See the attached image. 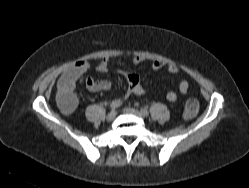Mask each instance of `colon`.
Instances as JSON below:
<instances>
[{
  "mask_svg": "<svg viewBox=\"0 0 249 188\" xmlns=\"http://www.w3.org/2000/svg\"><path fill=\"white\" fill-rule=\"evenodd\" d=\"M57 101L60 107L65 112H72L77 104L76 97L70 91L58 90L57 92ZM199 109L198 101L190 97L185 101L183 116L185 119L194 118Z\"/></svg>",
  "mask_w": 249,
  "mask_h": 188,
  "instance_id": "colon-1",
  "label": "colon"
}]
</instances>
